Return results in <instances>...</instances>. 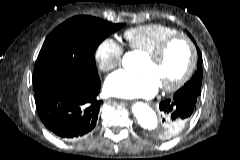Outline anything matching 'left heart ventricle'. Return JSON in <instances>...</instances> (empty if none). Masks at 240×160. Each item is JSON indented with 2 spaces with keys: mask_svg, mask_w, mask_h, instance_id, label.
Returning a JSON list of instances; mask_svg holds the SVG:
<instances>
[{
  "mask_svg": "<svg viewBox=\"0 0 240 160\" xmlns=\"http://www.w3.org/2000/svg\"><path fill=\"white\" fill-rule=\"evenodd\" d=\"M189 49L184 42L173 43L160 62L146 57L140 67L142 72L152 73L159 85H171L185 72L189 62Z\"/></svg>",
  "mask_w": 240,
  "mask_h": 160,
  "instance_id": "obj_1",
  "label": "left heart ventricle"
}]
</instances>
